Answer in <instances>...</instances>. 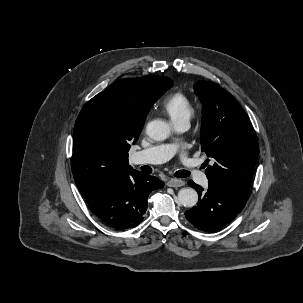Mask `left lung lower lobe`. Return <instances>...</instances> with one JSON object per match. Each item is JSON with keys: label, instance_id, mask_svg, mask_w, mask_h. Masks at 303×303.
I'll return each instance as SVG.
<instances>
[{"label": "left lung lower lobe", "instance_id": "left-lung-lower-lobe-1", "mask_svg": "<svg viewBox=\"0 0 303 303\" xmlns=\"http://www.w3.org/2000/svg\"><path fill=\"white\" fill-rule=\"evenodd\" d=\"M188 184L196 189L200 200L196 207L185 212V216L202 231L212 232L221 229L241 212L247 202V199L228 187L210 180L207 191L192 180H189Z\"/></svg>", "mask_w": 303, "mask_h": 303}]
</instances>
